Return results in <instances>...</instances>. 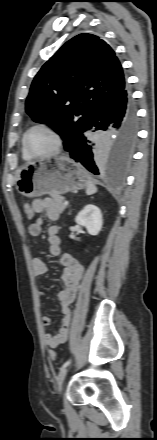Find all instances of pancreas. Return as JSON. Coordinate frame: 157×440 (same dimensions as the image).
Wrapping results in <instances>:
<instances>
[{"instance_id":"cf45deb5","label":"pancreas","mask_w":157,"mask_h":440,"mask_svg":"<svg viewBox=\"0 0 157 440\" xmlns=\"http://www.w3.org/2000/svg\"><path fill=\"white\" fill-rule=\"evenodd\" d=\"M52 198H53V201H54V208H55V210L59 214L63 213V211L66 208V205L64 204L65 198L63 196H60V195L52 196Z\"/></svg>"}]
</instances>
